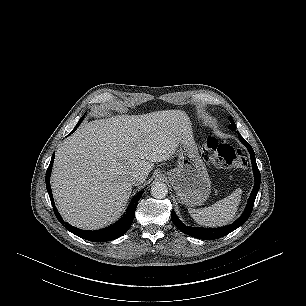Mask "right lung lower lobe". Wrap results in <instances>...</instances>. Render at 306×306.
I'll use <instances>...</instances> for the list:
<instances>
[{
	"label": "right lung lower lobe",
	"instance_id": "1",
	"mask_svg": "<svg viewBox=\"0 0 306 306\" xmlns=\"http://www.w3.org/2000/svg\"><path fill=\"white\" fill-rule=\"evenodd\" d=\"M79 126V125H78ZM76 126L73 131L71 133H73L77 127ZM70 133V134H71ZM54 162V154L52 155L51 158V162L50 165L46 171V188H47V192L49 194L53 209H54V213L57 217V219L60 221V223L65 226V228L70 231L71 233L89 240V241H94V242H106V241H111L114 240L120 236H122L123 234H125L128 229L130 228L133 219H134V215H135V210L138 204V201L140 199V197L142 196V193L139 192L131 201V204L128 208V210L126 211V214L114 225L109 226L107 228L104 229H100V230H95V231H85V230H81L78 229L74 226H71L70 224L64 222L60 216V214L58 213L57 208L55 207V203L53 200V196H52V191H51V187H50V175H51V170H52V165Z\"/></svg>",
	"mask_w": 306,
	"mask_h": 306
}]
</instances>
